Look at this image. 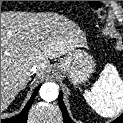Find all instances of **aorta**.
<instances>
[{"label": "aorta", "instance_id": "obj_1", "mask_svg": "<svg viewBox=\"0 0 123 123\" xmlns=\"http://www.w3.org/2000/svg\"><path fill=\"white\" fill-rule=\"evenodd\" d=\"M40 96L47 102H52L58 97V88L54 83H45L40 89Z\"/></svg>", "mask_w": 123, "mask_h": 123}]
</instances>
